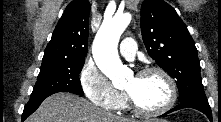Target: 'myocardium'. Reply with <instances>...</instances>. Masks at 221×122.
<instances>
[{
    "instance_id": "myocardium-1",
    "label": "myocardium",
    "mask_w": 221,
    "mask_h": 122,
    "mask_svg": "<svg viewBox=\"0 0 221 122\" xmlns=\"http://www.w3.org/2000/svg\"><path fill=\"white\" fill-rule=\"evenodd\" d=\"M148 74H158L160 75L167 84L168 87V100L167 102L158 109H145L138 105V103L134 100V98L125 91V99L130 108L137 114L143 116H158L168 112L176 103L177 100V88L173 78L170 76L168 72L160 67H147L140 70L136 76L142 77Z\"/></svg>"
}]
</instances>
